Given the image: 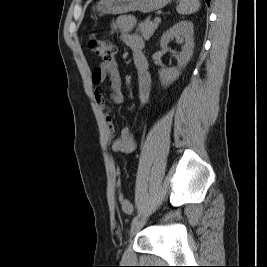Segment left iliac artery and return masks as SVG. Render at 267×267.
I'll list each match as a JSON object with an SVG mask.
<instances>
[{
  "label": "left iliac artery",
  "instance_id": "44dca946",
  "mask_svg": "<svg viewBox=\"0 0 267 267\" xmlns=\"http://www.w3.org/2000/svg\"><path fill=\"white\" fill-rule=\"evenodd\" d=\"M139 217H140V215H139V214H138V215H136V216L133 218V220H132L131 224H134L135 222H137V221H138V219H139Z\"/></svg>",
  "mask_w": 267,
  "mask_h": 267
}]
</instances>
